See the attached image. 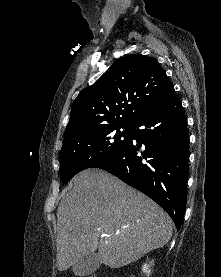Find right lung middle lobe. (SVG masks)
I'll list each match as a JSON object with an SVG mask.
<instances>
[{"label": "right lung middle lobe", "instance_id": "right-lung-middle-lobe-1", "mask_svg": "<svg viewBox=\"0 0 221 277\" xmlns=\"http://www.w3.org/2000/svg\"><path fill=\"white\" fill-rule=\"evenodd\" d=\"M132 133V125H102L65 140L61 150V181H70L80 171L93 167L128 145Z\"/></svg>", "mask_w": 221, "mask_h": 277}]
</instances>
